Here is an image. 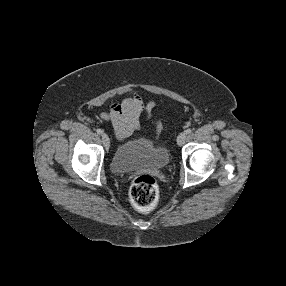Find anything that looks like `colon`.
<instances>
[{
	"label": "colon",
	"instance_id": "colon-1",
	"mask_svg": "<svg viewBox=\"0 0 286 286\" xmlns=\"http://www.w3.org/2000/svg\"><path fill=\"white\" fill-rule=\"evenodd\" d=\"M158 128H161L160 124ZM129 195L135 208L147 212L152 210L158 202L159 187L152 176L140 175L133 180Z\"/></svg>",
	"mask_w": 286,
	"mask_h": 286
}]
</instances>
